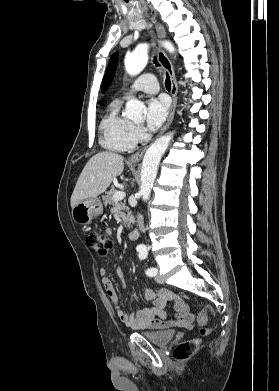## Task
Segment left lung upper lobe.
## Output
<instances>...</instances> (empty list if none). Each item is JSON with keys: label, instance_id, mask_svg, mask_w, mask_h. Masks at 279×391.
<instances>
[{"label": "left lung upper lobe", "instance_id": "obj_1", "mask_svg": "<svg viewBox=\"0 0 279 391\" xmlns=\"http://www.w3.org/2000/svg\"><path fill=\"white\" fill-rule=\"evenodd\" d=\"M117 61H118V53H114L109 61V65L107 67L106 73L103 78L102 82V92L104 93L106 89L109 87V84L111 83L116 67H117Z\"/></svg>", "mask_w": 279, "mask_h": 391}]
</instances>
